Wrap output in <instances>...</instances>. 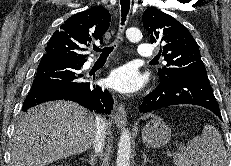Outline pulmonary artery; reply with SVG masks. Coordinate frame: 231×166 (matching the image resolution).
<instances>
[{
  "label": "pulmonary artery",
  "instance_id": "e3ab8cb5",
  "mask_svg": "<svg viewBox=\"0 0 231 166\" xmlns=\"http://www.w3.org/2000/svg\"><path fill=\"white\" fill-rule=\"evenodd\" d=\"M137 53L139 56L144 58H151L154 56V47L150 44H140L137 49Z\"/></svg>",
  "mask_w": 231,
  "mask_h": 166
}]
</instances>
